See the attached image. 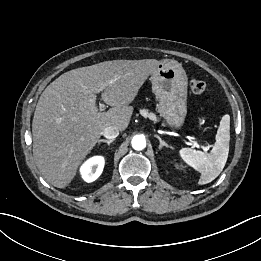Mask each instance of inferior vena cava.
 Segmentation results:
<instances>
[{"mask_svg": "<svg viewBox=\"0 0 261 261\" xmlns=\"http://www.w3.org/2000/svg\"><path fill=\"white\" fill-rule=\"evenodd\" d=\"M119 135V129L114 126H108L103 131V136L107 139H115Z\"/></svg>", "mask_w": 261, "mask_h": 261, "instance_id": "inferior-vena-cava-1", "label": "inferior vena cava"}]
</instances>
